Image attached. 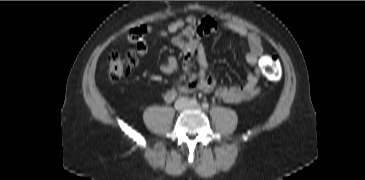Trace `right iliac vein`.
<instances>
[{
  "mask_svg": "<svg viewBox=\"0 0 365 180\" xmlns=\"http://www.w3.org/2000/svg\"><path fill=\"white\" fill-rule=\"evenodd\" d=\"M187 105V101L184 98L178 99L174 105L175 109L180 111Z\"/></svg>",
  "mask_w": 365,
  "mask_h": 180,
  "instance_id": "obj_1",
  "label": "right iliac vein"
}]
</instances>
